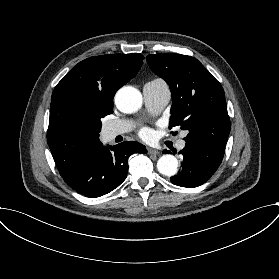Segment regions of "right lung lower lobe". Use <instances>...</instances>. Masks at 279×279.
<instances>
[{"label": "right lung lower lobe", "mask_w": 279, "mask_h": 279, "mask_svg": "<svg viewBox=\"0 0 279 279\" xmlns=\"http://www.w3.org/2000/svg\"><path fill=\"white\" fill-rule=\"evenodd\" d=\"M146 152L145 146L135 141L108 147L101 145L75 168L60 175L78 193L90 198L100 197L125 180L131 154Z\"/></svg>", "instance_id": "98d812e1"}]
</instances>
